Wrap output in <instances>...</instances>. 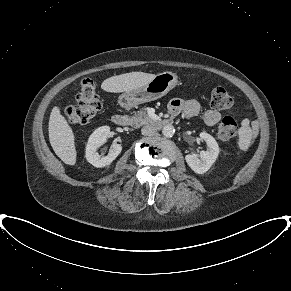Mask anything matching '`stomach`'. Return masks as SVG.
Wrapping results in <instances>:
<instances>
[{
  "label": "stomach",
  "instance_id": "obj_1",
  "mask_svg": "<svg viewBox=\"0 0 291 291\" xmlns=\"http://www.w3.org/2000/svg\"><path fill=\"white\" fill-rule=\"evenodd\" d=\"M178 83L175 73L166 71L157 74L146 85L132 91L122 93L118 98L121 107L130 109L139 104L150 102L166 95Z\"/></svg>",
  "mask_w": 291,
  "mask_h": 291
}]
</instances>
